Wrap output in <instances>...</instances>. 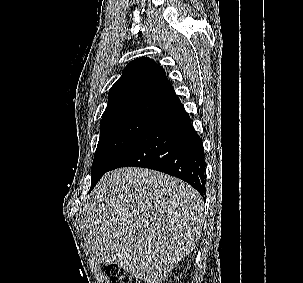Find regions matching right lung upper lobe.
I'll list each match as a JSON object with an SVG mask.
<instances>
[{
  "mask_svg": "<svg viewBox=\"0 0 303 283\" xmlns=\"http://www.w3.org/2000/svg\"><path fill=\"white\" fill-rule=\"evenodd\" d=\"M178 103L163 68L154 60L141 57L130 62L111 87L102 120L131 114L157 117Z\"/></svg>",
  "mask_w": 303,
  "mask_h": 283,
  "instance_id": "right-lung-upper-lobe-1",
  "label": "right lung upper lobe"
}]
</instances>
